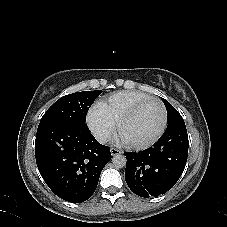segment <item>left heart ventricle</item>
<instances>
[{
    "mask_svg": "<svg viewBox=\"0 0 227 227\" xmlns=\"http://www.w3.org/2000/svg\"><path fill=\"white\" fill-rule=\"evenodd\" d=\"M163 120L162 108L157 102L145 104L122 128L128 143H142L151 139L159 130Z\"/></svg>",
    "mask_w": 227,
    "mask_h": 227,
    "instance_id": "1",
    "label": "left heart ventricle"
}]
</instances>
